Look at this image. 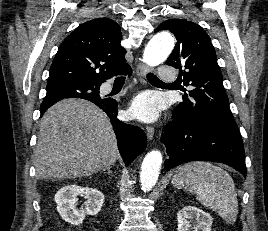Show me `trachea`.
<instances>
[{"instance_id":"3493384b","label":"trachea","mask_w":268,"mask_h":231,"mask_svg":"<svg viewBox=\"0 0 268 231\" xmlns=\"http://www.w3.org/2000/svg\"><path fill=\"white\" fill-rule=\"evenodd\" d=\"M122 78V77H121ZM147 78H148V80L149 81H151V82H161V83H163L160 79H158L153 73H149L148 75H147Z\"/></svg>"}]
</instances>
